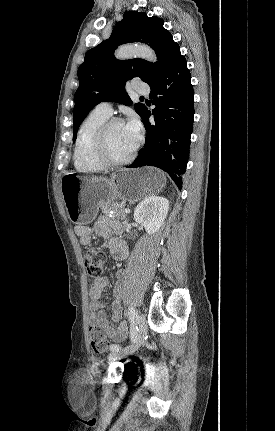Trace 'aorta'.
<instances>
[{
  "mask_svg": "<svg viewBox=\"0 0 275 431\" xmlns=\"http://www.w3.org/2000/svg\"><path fill=\"white\" fill-rule=\"evenodd\" d=\"M117 59H130L140 57L150 62H156L157 57L155 52L146 45H129L118 48L115 52Z\"/></svg>",
  "mask_w": 275,
  "mask_h": 431,
  "instance_id": "1",
  "label": "aorta"
}]
</instances>
